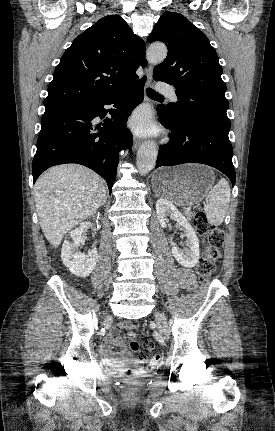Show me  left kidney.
<instances>
[{"label":"left kidney","mask_w":275,"mask_h":431,"mask_svg":"<svg viewBox=\"0 0 275 431\" xmlns=\"http://www.w3.org/2000/svg\"><path fill=\"white\" fill-rule=\"evenodd\" d=\"M156 213L159 223L163 228L167 226V223L169 222V216L175 219L182 226L187 236V244L189 245V249L181 250L171 241L172 254L182 266L186 268L194 267L197 264L200 256L199 240L194 228L191 226L185 216L179 212L170 201L166 199L160 198L157 200Z\"/></svg>","instance_id":"1"}]
</instances>
